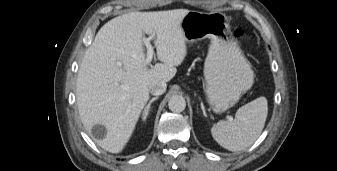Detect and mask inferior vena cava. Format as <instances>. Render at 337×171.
Instances as JSON below:
<instances>
[{"label": "inferior vena cava", "instance_id": "602c4592", "mask_svg": "<svg viewBox=\"0 0 337 171\" xmlns=\"http://www.w3.org/2000/svg\"><path fill=\"white\" fill-rule=\"evenodd\" d=\"M166 87L167 85L165 81L154 80L149 85V91L152 95L158 96L162 95L166 91Z\"/></svg>", "mask_w": 337, "mask_h": 171}]
</instances>
